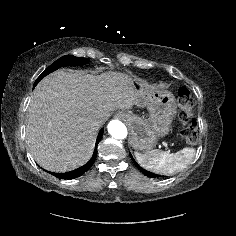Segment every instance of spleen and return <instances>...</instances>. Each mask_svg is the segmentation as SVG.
I'll list each match as a JSON object with an SVG mask.
<instances>
[{
    "label": "spleen",
    "instance_id": "1",
    "mask_svg": "<svg viewBox=\"0 0 236 236\" xmlns=\"http://www.w3.org/2000/svg\"><path fill=\"white\" fill-rule=\"evenodd\" d=\"M195 156V149L185 147L176 153L152 150L141 154L135 152L138 163L145 169L157 174L171 175L186 168Z\"/></svg>",
    "mask_w": 236,
    "mask_h": 236
}]
</instances>
